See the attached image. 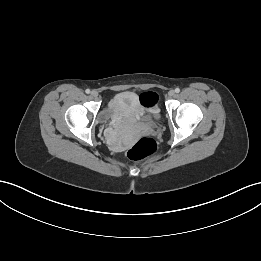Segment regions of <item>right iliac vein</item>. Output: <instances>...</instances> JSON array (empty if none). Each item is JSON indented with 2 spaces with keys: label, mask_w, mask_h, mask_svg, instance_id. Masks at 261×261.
<instances>
[{
  "label": "right iliac vein",
  "mask_w": 261,
  "mask_h": 261,
  "mask_svg": "<svg viewBox=\"0 0 261 261\" xmlns=\"http://www.w3.org/2000/svg\"><path fill=\"white\" fill-rule=\"evenodd\" d=\"M91 96L96 98L98 96V92L96 90L91 91Z\"/></svg>",
  "instance_id": "right-iliac-vein-1"
}]
</instances>
